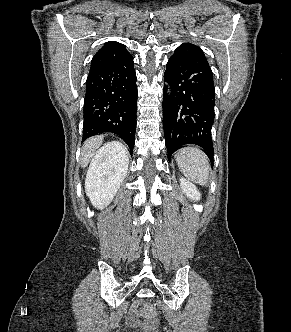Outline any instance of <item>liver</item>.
I'll use <instances>...</instances> for the list:
<instances>
[{
    "label": "liver",
    "mask_w": 291,
    "mask_h": 332,
    "mask_svg": "<svg viewBox=\"0 0 291 332\" xmlns=\"http://www.w3.org/2000/svg\"><path fill=\"white\" fill-rule=\"evenodd\" d=\"M103 136H94L87 139L81 150L80 163L85 168L95 154L96 150L102 145ZM124 147V146H123ZM125 155L128 158V150L124 147Z\"/></svg>",
    "instance_id": "6515ba94"
}]
</instances>
